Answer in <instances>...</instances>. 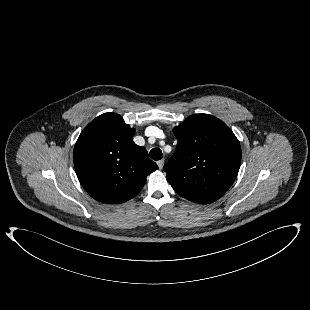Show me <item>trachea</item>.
Returning <instances> with one entry per match:
<instances>
[{
  "label": "trachea",
  "instance_id": "trachea-1",
  "mask_svg": "<svg viewBox=\"0 0 310 310\" xmlns=\"http://www.w3.org/2000/svg\"><path fill=\"white\" fill-rule=\"evenodd\" d=\"M149 156L153 159V160H160L163 157L162 151L160 148H153L150 152H149Z\"/></svg>",
  "mask_w": 310,
  "mask_h": 310
}]
</instances>
